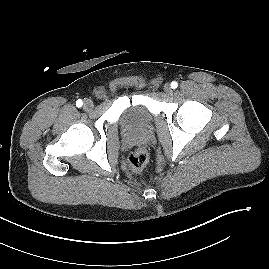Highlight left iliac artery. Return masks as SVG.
<instances>
[{"label": "left iliac artery", "instance_id": "left-iliac-artery-1", "mask_svg": "<svg viewBox=\"0 0 269 269\" xmlns=\"http://www.w3.org/2000/svg\"><path fill=\"white\" fill-rule=\"evenodd\" d=\"M171 87H172L173 89H176V88L178 87V83H177L176 81H173V82L171 83Z\"/></svg>", "mask_w": 269, "mask_h": 269}]
</instances>
